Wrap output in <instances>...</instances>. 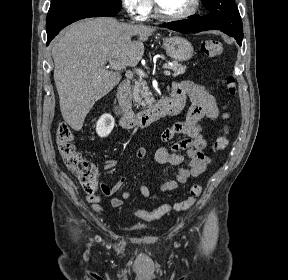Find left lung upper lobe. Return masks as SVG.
<instances>
[{
	"label": "left lung upper lobe",
	"instance_id": "1",
	"mask_svg": "<svg viewBox=\"0 0 288 280\" xmlns=\"http://www.w3.org/2000/svg\"><path fill=\"white\" fill-rule=\"evenodd\" d=\"M210 12L205 18L221 31L243 39V25L234 0H202Z\"/></svg>",
	"mask_w": 288,
	"mask_h": 280
}]
</instances>
